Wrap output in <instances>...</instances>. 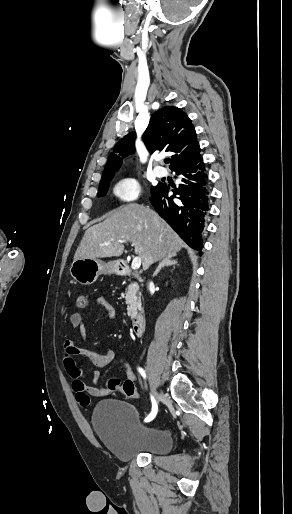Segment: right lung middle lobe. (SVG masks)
<instances>
[{"label":"right lung middle lobe","mask_w":292,"mask_h":514,"mask_svg":"<svg viewBox=\"0 0 292 514\" xmlns=\"http://www.w3.org/2000/svg\"><path fill=\"white\" fill-rule=\"evenodd\" d=\"M111 179H107V180L100 182V186H99V190H98V197H103L107 194ZM153 188L154 187H151V189H153Z\"/></svg>","instance_id":"dd1d6c3e"}]
</instances>
